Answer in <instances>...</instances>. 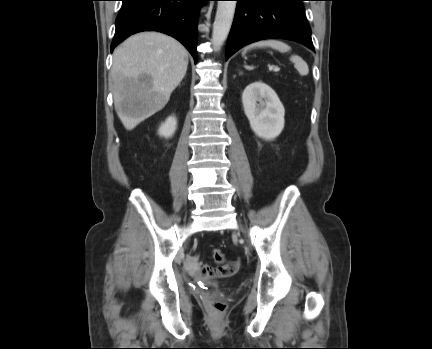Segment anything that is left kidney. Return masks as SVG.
I'll list each match as a JSON object with an SVG mask.
<instances>
[{
  "instance_id": "1",
  "label": "left kidney",
  "mask_w": 432,
  "mask_h": 349,
  "mask_svg": "<svg viewBox=\"0 0 432 349\" xmlns=\"http://www.w3.org/2000/svg\"><path fill=\"white\" fill-rule=\"evenodd\" d=\"M242 103L253 132L265 140H273L284 128L285 109L275 91L263 81L249 84L243 91Z\"/></svg>"
}]
</instances>
